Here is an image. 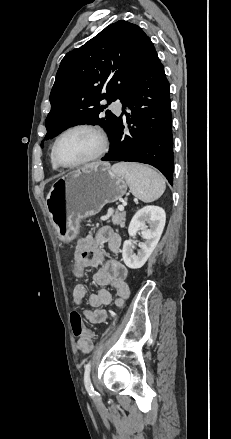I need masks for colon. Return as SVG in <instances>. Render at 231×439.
Segmentation results:
<instances>
[{"label": "colon", "mask_w": 231, "mask_h": 439, "mask_svg": "<svg viewBox=\"0 0 231 439\" xmlns=\"http://www.w3.org/2000/svg\"><path fill=\"white\" fill-rule=\"evenodd\" d=\"M72 268L74 270L73 276L76 279H79L82 276V273L86 272V265L83 264V260L80 257L75 258V260L72 263ZM75 283H84V282H75ZM74 283V284H75ZM74 287V285H73ZM70 324L71 329L74 334V336L79 338H84L87 340H92L93 333L92 331L86 329L83 325L82 317L79 312L72 311L70 314Z\"/></svg>", "instance_id": "colon-1"}]
</instances>
